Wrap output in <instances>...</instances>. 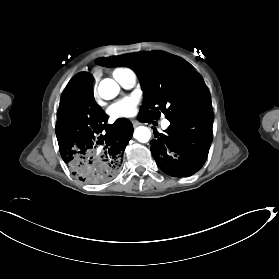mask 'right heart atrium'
Masks as SVG:
<instances>
[{"label": "right heart atrium", "instance_id": "obj_1", "mask_svg": "<svg viewBox=\"0 0 279 279\" xmlns=\"http://www.w3.org/2000/svg\"><path fill=\"white\" fill-rule=\"evenodd\" d=\"M97 93H96V90H94V96L96 97Z\"/></svg>", "mask_w": 279, "mask_h": 279}]
</instances>
